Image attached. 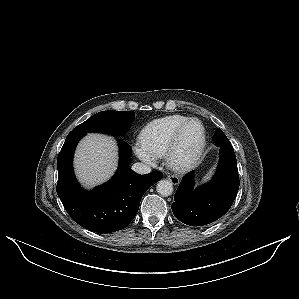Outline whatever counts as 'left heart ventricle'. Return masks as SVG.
I'll list each match as a JSON object with an SVG mask.
<instances>
[{
    "label": "left heart ventricle",
    "mask_w": 299,
    "mask_h": 299,
    "mask_svg": "<svg viewBox=\"0 0 299 299\" xmlns=\"http://www.w3.org/2000/svg\"><path fill=\"white\" fill-rule=\"evenodd\" d=\"M201 138V127L198 123H191L183 132L179 144L178 153L180 155L191 154L197 148Z\"/></svg>",
    "instance_id": "left-heart-ventricle-1"
}]
</instances>
